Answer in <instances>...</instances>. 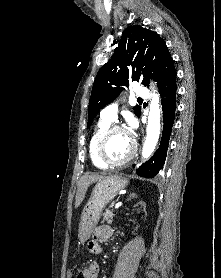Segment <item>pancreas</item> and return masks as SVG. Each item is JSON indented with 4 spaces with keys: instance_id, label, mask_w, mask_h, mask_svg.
Instances as JSON below:
<instances>
[{
    "instance_id": "obj_1",
    "label": "pancreas",
    "mask_w": 221,
    "mask_h": 278,
    "mask_svg": "<svg viewBox=\"0 0 221 278\" xmlns=\"http://www.w3.org/2000/svg\"><path fill=\"white\" fill-rule=\"evenodd\" d=\"M113 216H114V215H113L112 210L107 209V210L105 211V213L103 214V220H102V222H107V223L111 224L112 221H113Z\"/></svg>"
}]
</instances>
